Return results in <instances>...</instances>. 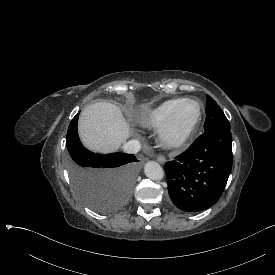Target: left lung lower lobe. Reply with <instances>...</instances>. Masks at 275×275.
Returning a JSON list of instances; mask_svg holds the SVG:
<instances>
[{"instance_id":"1","label":"left lung lower lobe","mask_w":275,"mask_h":275,"mask_svg":"<svg viewBox=\"0 0 275 275\" xmlns=\"http://www.w3.org/2000/svg\"><path fill=\"white\" fill-rule=\"evenodd\" d=\"M164 168L168 193L177 208L186 212L208 209L219 200L231 172L230 129L202 134Z\"/></svg>"}]
</instances>
